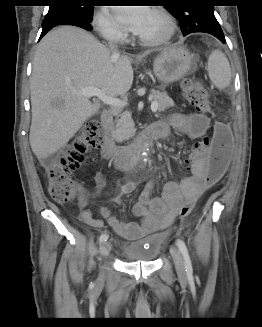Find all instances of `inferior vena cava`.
I'll return each instance as SVG.
<instances>
[{
  "mask_svg": "<svg viewBox=\"0 0 262 327\" xmlns=\"http://www.w3.org/2000/svg\"><path fill=\"white\" fill-rule=\"evenodd\" d=\"M109 47L111 48V50H112V52H113V54L115 55V56H117V55H119V53H118V51H117V47H116V45L114 44V41H113V37L112 36H109Z\"/></svg>",
  "mask_w": 262,
  "mask_h": 327,
  "instance_id": "inferior-vena-cava-1",
  "label": "inferior vena cava"
}]
</instances>
